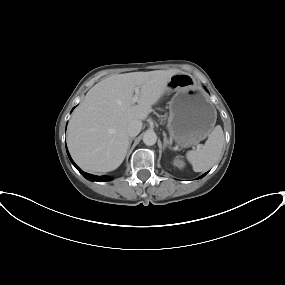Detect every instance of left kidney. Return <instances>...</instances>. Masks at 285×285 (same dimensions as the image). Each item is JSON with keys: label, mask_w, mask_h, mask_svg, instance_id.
Returning a JSON list of instances; mask_svg holds the SVG:
<instances>
[{"label": "left kidney", "mask_w": 285, "mask_h": 285, "mask_svg": "<svg viewBox=\"0 0 285 285\" xmlns=\"http://www.w3.org/2000/svg\"><path fill=\"white\" fill-rule=\"evenodd\" d=\"M174 165H176V166L179 167V168L184 167L183 161H181V160H179V159H175V160H174Z\"/></svg>", "instance_id": "left-kidney-1"}]
</instances>
